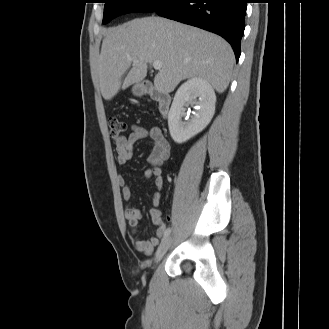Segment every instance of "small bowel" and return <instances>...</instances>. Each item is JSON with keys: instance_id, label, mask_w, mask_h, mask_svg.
Segmentation results:
<instances>
[{"instance_id": "c3829d8e", "label": "small bowel", "mask_w": 329, "mask_h": 329, "mask_svg": "<svg viewBox=\"0 0 329 329\" xmlns=\"http://www.w3.org/2000/svg\"><path fill=\"white\" fill-rule=\"evenodd\" d=\"M145 139H150L153 144L152 152L148 157L150 167L145 170L144 175L146 178L154 179L155 192L152 198L153 208L150 210V217L157 228L155 235L148 239L135 238L134 248L136 251L143 253L146 256H150L153 253L154 248L159 245L161 236L165 232V223L158 207L164 187L161 165L170 157V145L160 128H147L140 125H133L132 132L128 136H123L115 140V147L118 163L120 165H125L132 158L134 146ZM118 182L122 188V197L124 201L129 203L132 198L131 187L128 185L127 180L123 175L119 176ZM124 212L128 226L132 233L135 234L141 218V212L139 209L130 205H126Z\"/></svg>"}]
</instances>
